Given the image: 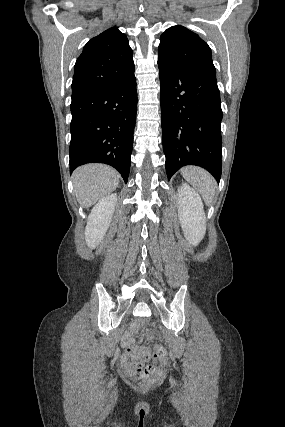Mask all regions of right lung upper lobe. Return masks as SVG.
Returning a JSON list of instances; mask_svg holds the SVG:
<instances>
[{
    "label": "right lung upper lobe",
    "mask_w": 285,
    "mask_h": 427,
    "mask_svg": "<svg viewBox=\"0 0 285 427\" xmlns=\"http://www.w3.org/2000/svg\"><path fill=\"white\" fill-rule=\"evenodd\" d=\"M133 52L125 34L110 28L92 38L78 57L72 81V97L111 86L134 74Z\"/></svg>",
    "instance_id": "right-lung-upper-lobe-1"
}]
</instances>
